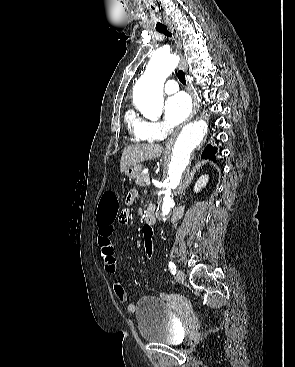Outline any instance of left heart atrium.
Instances as JSON below:
<instances>
[{
    "label": "left heart atrium",
    "instance_id": "left-heart-atrium-1",
    "mask_svg": "<svg viewBox=\"0 0 295 367\" xmlns=\"http://www.w3.org/2000/svg\"><path fill=\"white\" fill-rule=\"evenodd\" d=\"M191 102L184 93H178L167 99L164 107L165 121L170 127L183 122L189 115Z\"/></svg>",
    "mask_w": 295,
    "mask_h": 367
}]
</instances>
